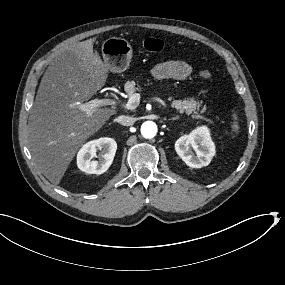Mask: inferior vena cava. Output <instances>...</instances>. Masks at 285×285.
Instances as JSON below:
<instances>
[{"mask_svg":"<svg viewBox=\"0 0 285 285\" xmlns=\"http://www.w3.org/2000/svg\"><path fill=\"white\" fill-rule=\"evenodd\" d=\"M118 119L119 122L124 126H131L135 123V119L130 116H120Z\"/></svg>","mask_w":285,"mask_h":285,"instance_id":"obj_1","label":"inferior vena cava"}]
</instances>
